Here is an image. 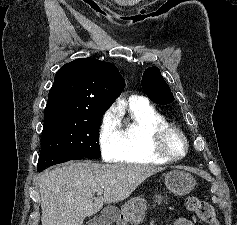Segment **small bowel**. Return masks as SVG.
I'll use <instances>...</instances> for the list:
<instances>
[{
	"mask_svg": "<svg viewBox=\"0 0 237 225\" xmlns=\"http://www.w3.org/2000/svg\"><path fill=\"white\" fill-rule=\"evenodd\" d=\"M173 225H195V223H194V221H192L190 219L180 217L175 220Z\"/></svg>",
	"mask_w": 237,
	"mask_h": 225,
	"instance_id": "1",
	"label": "small bowel"
}]
</instances>
